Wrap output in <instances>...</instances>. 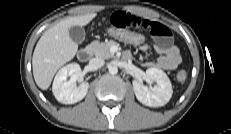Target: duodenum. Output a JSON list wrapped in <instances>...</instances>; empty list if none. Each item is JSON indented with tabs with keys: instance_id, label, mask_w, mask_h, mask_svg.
Instances as JSON below:
<instances>
[{
	"instance_id": "1",
	"label": "duodenum",
	"mask_w": 231,
	"mask_h": 134,
	"mask_svg": "<svg viewBox=\"0 0 231 134\" xmlns=\"http://www.w3.org/2000/svg\"><path fill=\"white\" fill-rule=\"evenodd\" d=\"M91 56V49L89 47L83 48L78 51L77 58L81 62H86Z\"/></svg>"
}]
</instances>
